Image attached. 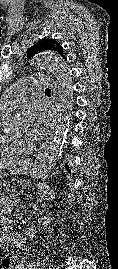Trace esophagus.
Returning a JSON list of instances; mask_svg holds the SVG:
<instances>
[{"label":"esophagus","mask_w":118,"mask_h":269,"mask_svg":"<svg viewBox=\"0 0 118 269\" xmlns=\"http://www.w3.org/2000/svg\"><path fill=\"white\" fill-rule=\"evenodd\" d=\"M52 94H53V101H54V104L56 105V104H57V99H56V87H55V86H52ZM56 118H57V110H56V108H55L54 111H53L52 119H51L49 135H48V137L46 138L45 142H44V143L42 144V146L40 147V149H39L38 152L43 151V149L45 148V146L47 145V143H49V141H50V139H51V137H52V135H53L55 126H56Z\"/></svg>","instance_id":"1"}]
</instances>
